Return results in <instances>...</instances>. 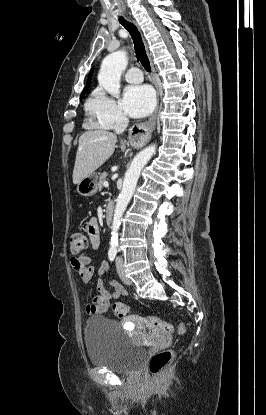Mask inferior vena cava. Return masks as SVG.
<instances>
[{"mask_svg": "<svg viewBox=\"0 0 266 415\" xmlns=\"http://www.w3.org/2000/svg\"><path fill=\"white\" fill-rule=\"evenodd\" d=\"M128 118L127 117H121L116 125H115V132L117 134H121L124 132V130L126 129L127 125H128Z\"/></svg>", "mask_w": 266, "mask_h": 415, "instance_id": "obj_1", "label": "inferior vena cava"}]
</instances>
